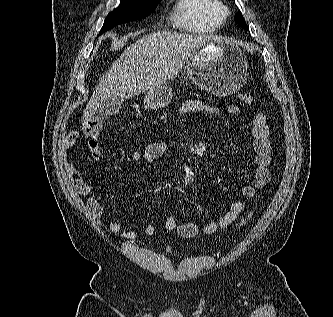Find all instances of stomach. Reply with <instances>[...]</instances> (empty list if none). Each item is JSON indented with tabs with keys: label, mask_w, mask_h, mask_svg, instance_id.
<instances>
[{
	"label": "stomach",
	"mask_w": 333,
	"mask_h": 317,
	"mask_svg": "<svg viewBox=\"0 0 333 317\" xmlns=\"http://www.w3.org/2000/svg\"><path fill=\"white\" fill-rule=\"evenodd\" d=\"M186 71L192 83L219 97L237 92L246 82L248 61L231 40L215 38L205 42L188 59ZM172 88L163 83L147 93L144 105L157 110L172 100Z\"/></svg>",
	"instance_id": "stomach-1"
}]
</instances>
